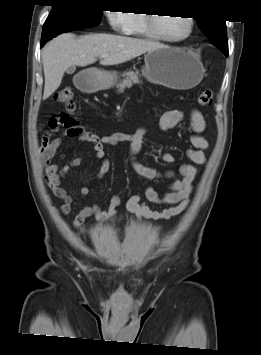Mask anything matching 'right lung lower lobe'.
I'll use <instances>...</instances> for the list:
<instances>
[{
    "label": "right lung lower lobe",
    "instance_id": "98d812e1",
    "mask_svg": "<svg viewBox=\"0 0 261 355\" xmlns=\"http://www.w3.org/2000/svg\"><path fill=\"white\" fill-rule=\"evenodd\" d=\"M87 26L75 22V21H58L50 24H44L42 37H41V47L50 39L54 38L56 35L67 32L84 29Z\"/></svg>",
    "mask_w": 261,
    "mask_h": 355
}]
</instances>
